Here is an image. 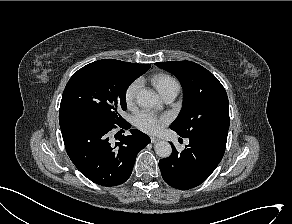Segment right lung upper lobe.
Wrapping results in <instances>:
<instances>
[{"label":"right lung upper lobe","mask_w":292,"mask_h":224,"mask_svg":"<svg viewBox=\"0 0 292 224\" xmlns=\"http://www.w3.org/2000/svg\"><path fill=\"white\" fill-rule=\"evenodd\" d=\"M131 67L134 69V71L140 75H142L143 73H145L149 68H150V64H133L130 63Z\"/></svg>","instance_id":"right-lung-upper-lobe-1"}]
</instances>
